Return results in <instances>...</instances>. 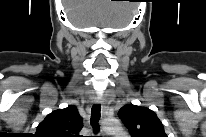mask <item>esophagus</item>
<instances>
[{
  "label": "esophagus",
  "instance_id": "esophagus-1",
  "mask_svg": "<svg viewBox=\"0 0 206 137\" xmlns=\"http://www.w3.org/2000/svg\"><path fill=\"white\" fill-rule=\"evenodd\" d=\"M97 105H101L102 108V115L104 116L106 113V106L104 104V100L101 97H98L95 101Z\"/></svg>",
  "mask_w": 206,
  "mask_h": 137
}]
</instances>
